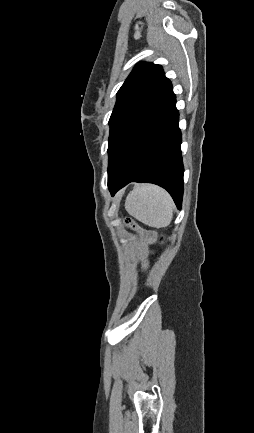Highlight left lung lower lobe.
Instances as JSON below:
<instances>
[{
  "mask_svg": "<svg viewBox=\"0 0 254 433\" xmlns=\"http://www.w3.org/2000/svg\"><path fill=\"white\" fill-rule=\"evenodd\" d=\"M173 90L139 129L115 173L108 179L113 196L130 182H148L165 188L180 209L184 167L181 132Z\"/></svg>",
  "mask_w": 254,
  "mask_h": 433,
  "instance_id": "obj_1",
  "label": "left lung lower lobe"
}]
</instances>
